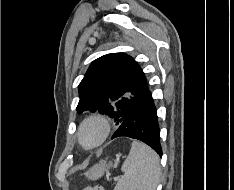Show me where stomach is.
I'll return each mask as SVG.
<instances>
[{"label":"stomach","instance_id":"stomach-1","mask_svg":"<svg viewBox=\"0 0 234 190\" xmlns=\"http://www.w3.org/2000/svg\"><path fill=\"white\" fill-rule=\"evenodd\" d=\"M112 163H109L108 165L106 163H100L95 166H93L89 171L86 172V177L91 180H97L101 176L104 175L105 171H107L108 167H111ZM116 165H114L115 167Z\"/></svg>","mask_w":234,"mask_h":190}]
</instances>
